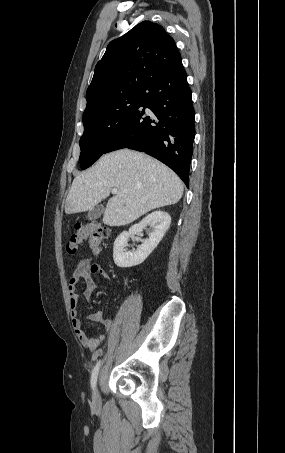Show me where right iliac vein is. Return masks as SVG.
Segmentation results:
<instances>
[{
    "instance_id": "obj_1",
    "label": "right iliac vein",
    "mask_w": 285,
    "mask_h": 453,
    "mask_svg": "<svg viewBox=\"0 0 285 453\" xmlns=\"http://www.w3.org/2000/svg\"><path fill=\"white\" fill-rule=\"evenodd\" d=\"M93 404L96 408H99L101 405V397L100 393L97 387H95L94 393H93Z\"/></svg>"
}]
</instances>
